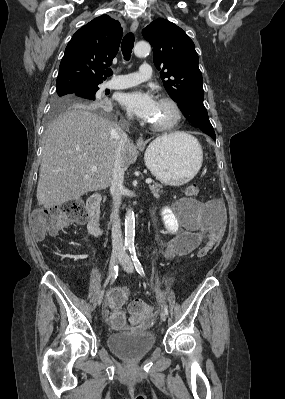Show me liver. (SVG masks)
Returning a JSON list of instances; mask_svg holds the SVG:
<instances>
[{
  "label": "liver",
  "instance_id": "liver-1",
  "mask_svg": "<svg viewBox=\"0 0 285 399\" xmlns=\"http://www.w3.org/2000/svg\"><path fill=\"white\" fill-rule=\"evenodd\" d=\"M122 132L115 123L88 110L74 108L60 116L47 132L37 186L38 204L49 209L109 187ZM184 135L175 132L162 137ZM133 150L128 140L124 169L130 165ZM90 165L97 170L91 171Z\"/></svg>",
  "mask_w": 285,
  "mask_h": 399
}]
</instances>
